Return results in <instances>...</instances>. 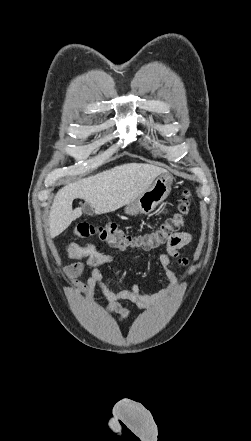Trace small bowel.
<instances>
[{
	"instance_id": "small-bowel-1",
	"label": "small bowel",
	"mask_w": 251,
	"mask_h": 441,
	"mask_svg": "<svg viewBox=\"0 0 251 441\" xmlns=\"http://www.w3.org/2000/svg\"><path fill=\"white\" fill-rule=\"evenodd\" d=\"M192 235L188 232L175 233L166 244V252L162 253L158 260L168 281L167 287L153 294H144L137 285L129 288L110 289L104 282V275L100 266L111 264L115 257L100 252L94 244L78 245L70 242L65 245L66 254L73 259L84 260L63 268V272L74 278H80L85 268L90 269V274L85 280H77V289L91 302L94 301L95 290L98 289L102 297L108 302V313L118 319L126 320L130 316L127 308L123 307L121 301L130 302L139 308L149 310L161 304L173 292L177 285V276L170 268L171 259L175 258L180 265H187L188 260L180 256V250L188 245Z\"/></svg>"
}]
</instances>
